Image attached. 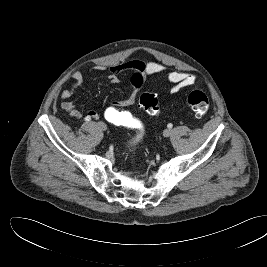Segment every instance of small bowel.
<instances>
[{
    "mask_svg": "<svg viewBox=\"0 0 267 267\" xmlns=\"http://www.w3.org/2000/svg\"><path fill=\"white\" fill-rule=\"evenodd\" d=\"M165 69L166 66L160 62H143L139 60H130L124 64L110 66L108 75V80L110 83L118 84L120 81L119 74L122 71L128 70L132 72L131 82L134 86V91L127 99L121 101H114L112 104L117 105L119 107L132 105L135 102L137 93L144 84L145 80L148 77L158 75L164 72ZM71 77L73 79V83L69 88H66L61 92V106L63 110L71 117L80 118L81 112L74 106L70 99L76 89L82 85L84 78L79 71L73 72ZM166 78L172 84L170 88L171 93H177L183 88L192 86L196 81L195 75L183 71L170 72L167 74ZM86 117L90 118V120L98 119L99 114L96 111H89Z\"/></svg>",
    "mask_w": 267,
    "mask_h": 267,
    "instance_id": "obj_1",
    "label": "small bowel"
}]
</instances>
